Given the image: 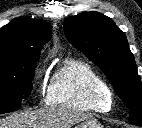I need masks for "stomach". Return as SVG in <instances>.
Listing matches in <instances>:
<instances>
[{"mask_svg": "<svg viewBox=\"0 0 142 128\" xmlns=\"http://www.w3.org/2000/svg\"><path fill=\"white\" fill-rule=\"evenodd\" d=\"M76 128H103V126L96 119L89 118L78 124Z\"/></svg>", "mask_w": 142, "mask_h": 128, "instance_id": "1", "label": "stomach"}]
</instances>
